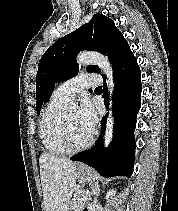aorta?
Listing matches in <instances>:
<instances>
[{"instance_id": "1", "label": "aorta", "mask_w": 178, "mask_h": 211, "mask_svg": "<svg viewBox=\"0 0 178 211\" xmlns=\"http://www.w3.org/2000/svg\"><path fill=\"white\" fill-rule=\"evenodd\" d=\"M76 62L79 65L95 64L103 71V73L106 75V83L108 86V91L110 93L109 104H110V108H112V94L114 90V78H113V68L109 59L98 52H82L77 56ZM72 107L76 108V104L73 103ZM113 125H114V118H113V113L110 110L108 118H107L106 131L104 135L105 147H108L110 142L113 139Z\"/></svg>"}]
</instances>
